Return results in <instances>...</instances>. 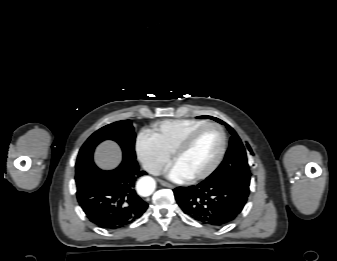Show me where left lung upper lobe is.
Returning a JSON list of instances; mask_svg holds the SVG:
<instances>
[{
	"label": "left lung upper lobe",
	"instance_id": "obj_1",
	"mask_svg": "<svg viewBox=\"0 0 337 261\" xmlns=\"http://www.w3.org/2000/svg\"><path fill=\"white\" fill-rule=\"evenodd\" d=\"M226 125L232 137L230 146L220 166L207 180H221L237 187L244 194L249 195L250 170L247 162L246 150L236 132L223 121L213 118ZM248 150L252 153L249 145Z\"/></svg>",
	"mask_w": 337,
	"mask_h": 261
}]
</instances>
